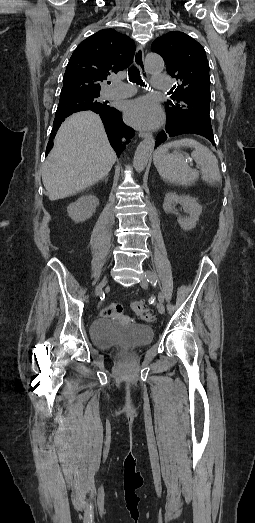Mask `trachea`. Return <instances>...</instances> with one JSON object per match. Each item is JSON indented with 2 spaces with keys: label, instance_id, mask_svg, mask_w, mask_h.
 I'll return each mask as SVG.
<instances>
[{
  "label": "trachea",
  "instance_id": "obj_1",
  "mask_svg": "<svg viewBox=\"0 0 255 523\" xmlns=\"http://www.w3.org/2000/svg\"><path fill=\"white\" fill-rule=\"evenodd\" d=\"M130 82L137 83L138 85H144L139 69L137 67H130L128 70Z\"/></svg>",
  "mask_w": 255,
  "mask_h": 523
}]
</instances>
